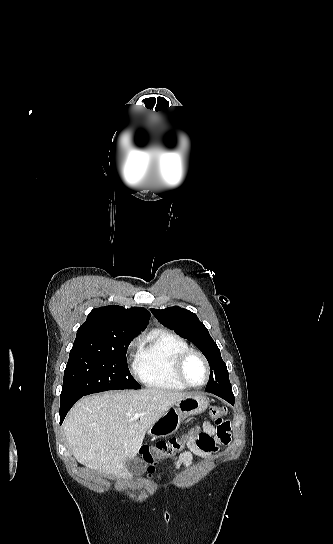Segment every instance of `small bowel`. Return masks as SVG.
I'll list each match as a JSON object with an SVG mask.
<instances>
[{
  "mask_svg": "<svg viewBox=\"0 0 333 544\" xmlns=\"http://www.w3.org/2000/svg\"><path fill=\"white\" fill-rule=\"evenodd\" d=\"M231 441V423L221 418L214 423L205 422L203 431L190 436L187 440L188 450L181 452L175 459V467H189L194 456L205 458L218 450V444H229Z\"/></svg>",
  "mask_w": 333,
  "mask_h": 544,
  "instance_id": "c3829d8e",
  "label": "small bowel"
}]
</instances>
